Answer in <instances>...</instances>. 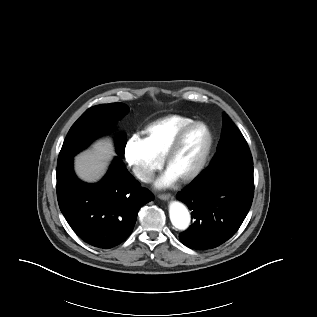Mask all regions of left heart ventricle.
Here are the masks:
<instances>
[{
    "label": "left heart ventricle",
    "mask_w": 317,
    "mask_h": 317,
    "mask_svg": "<svg viewBox=\"0 0 317 317\" xmlns=\"http://www.w3.org/2000/svg\"><path fill=\"white\" fill-rule=\"evenodd\" d=\"M207 143V134L204 128H193L184 138L183 143L169 165L177 178L189 173L199 162Z\"/></svg>",
    "instance_id": "obj_1"
}]
</instances>
